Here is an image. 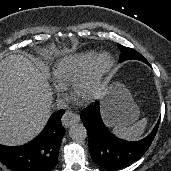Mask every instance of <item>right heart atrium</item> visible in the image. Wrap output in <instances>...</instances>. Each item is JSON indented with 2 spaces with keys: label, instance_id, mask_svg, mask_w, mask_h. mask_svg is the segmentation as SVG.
Instances as JSON below:
<instances>
[{
  "label": "right heart atrium",
  "instance_id": "obj_1",
  "mask_svg": "<svg viewBox=\"0 0 171 171\" xmlns=\"http://www.w3.org/2000/svg\"><path fill=\"white\" fill-rule=\"evenodd\" d=\"M64 89H65V88L60 87V86H58V85L56 84V91H57L59 94L63 93Z\"/></svg>",
  "mask_w": 171,
  "mask_h": 171
}]
</instances>
